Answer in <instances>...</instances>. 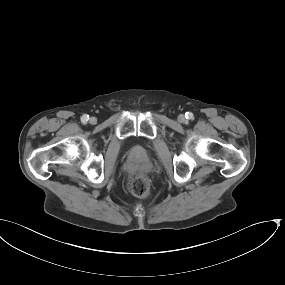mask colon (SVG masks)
I'll list each match as a JSON object with an SVG mask.
<instances>
[{"instance_id":"5ec220e1","label":"colon","mask_w":285,"mask_h":285,"mask_svg":"<svg viewBox=\"0 0 285 285\" xmlns=\"http://www.w3.org/2000/svg\"><path fill=\"white\" fill-rule=\"evenodd\" d=\"M151 183L147 176L135 174L128 182L129 191L136 197L145 199L150 194Z\"/></svg>"}]
</instances>
